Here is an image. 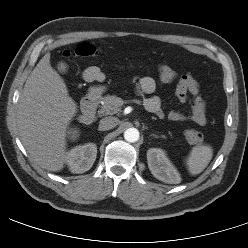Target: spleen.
<instances>
[{"label": "spleen", "mask_w": 248, "mask_h": 248, "mask_svg": "<svg viewBox=\"0 0 248 248\" xmlns=\"http://www.w3.org/2000/svg\"><path fill=\"white\" fill-rule=\"evenodd\" d=\"M213 157V149L209 145H198L192 148L186 165L191 175L200 174L210 163Z\"/></svg>", "instance_id": "spleen-1"}]
</instances>
